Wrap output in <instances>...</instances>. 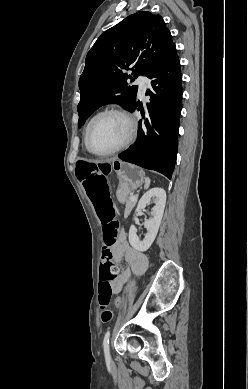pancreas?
I'll use <instances>...</instances> for the list:
<instances>
[{"mask_svg":"<svg viewBox=\"0 0 248 389\" xmlns=\"http://www.w3.org/2000/svg\"><path fill=\"white\" fill-rule=\"evenodd\" d=\"M136 200L137 199H128L127 201H126V208H125V214H129L130 213V211L132 210V208L134 207V205H135V203H136Z\"/></svg>","mask_w":248,"mask_h":389,"instance_id":"pancreas-1","label":"pancreas"}]
</instances>
